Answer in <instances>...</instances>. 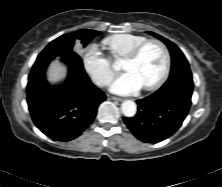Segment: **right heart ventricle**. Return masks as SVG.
Segmentation results:
<instances>
[{"label":"right heart ventricle","mask_w":222,"mask_h":187,"mask_svg":"<svg viewBox=\"0 0 222 187\" xmlns=\"http://www.w3.org/2000/svg\"><path fill=\"white\" fill-rule=\"evenodd\" d=\"M146 40L145 36L122 33L106 37L103 40V44L115 58L123 59L135 47Z\"/></svg>","instance_id":"obj_1"}]
</instances>
